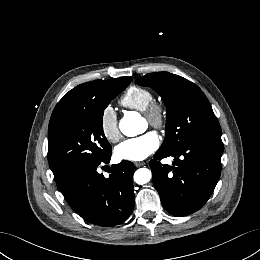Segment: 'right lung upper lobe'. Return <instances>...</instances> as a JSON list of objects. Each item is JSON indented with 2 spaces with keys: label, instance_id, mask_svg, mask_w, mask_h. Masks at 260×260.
<instances>
[{
  "label": "right lung upper lobe",
  "instance_id": "right-lung-upper-lobe-1",
  "mask_svg": "<svg viewBox=\"0 0 260 260\" xmlns=\"http://www.w3.org/2000/svg\"><path fill=\"white\" fill-rule=\"evenodd\" d=\"M130 82L131 77H121L111 80H95L80 84L73 88L57 103L54 108L49 123V132L54 127L76 113V111L85 104L89 97L93 96L98 91L107 87H127Z\"/></svg>",
  "mask_w": 260,
  "mask_h": 260
}]
</instances>
